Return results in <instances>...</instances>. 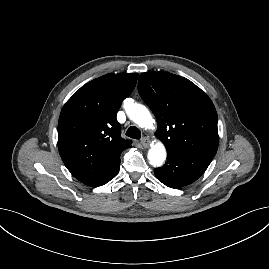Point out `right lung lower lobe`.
Wrapping results in <instances>:
<instances>
[{
    "label": "right lung lower lobe",
    "mask_w": 269,
    "mask_h": 269,
    "mask_svg": "<svg viewBox=\"0 0 269 269\" xmlns=\"http://www.w3.org/2000/svg\"><path fill=\"white\" fill-rule=\"evenodd\" d=\"M118 170H119V168L110 176V178L109 179H107L103 184H105V183H107V182H109L117 173H118ZM102 184V185H103Z\"/></svg>",
    "instance_id": "1"
}]
</instances>
